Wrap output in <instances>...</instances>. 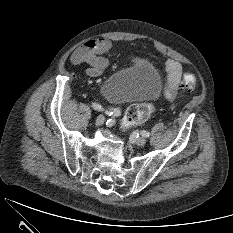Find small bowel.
<instances>
[{
  "mask_svg": "<svg viewBox=\"0 0 233 233\" xmlns=\"http://www.w3.org/2000/svg\"><path fill=\"white\" fill-rule=\"evenodd\" d=\"M111 47V43L104 38L88 41L85 45L77 48L72 56L71 62L74 65L86 63L88 65L87 74L91 77L100 76L108 66L107 59L103 56ZM167 71V82L164 95L167 99H174L181 84L183 71L181 64L168 59L165 64Z\"/></svg>",
  "mask_w": 233,
  "mask_h": 233,
  "instance_id": "obj_1",
  "label": "small bowel"
}]
</instances>
